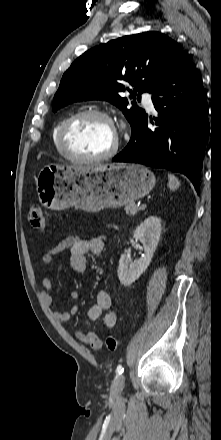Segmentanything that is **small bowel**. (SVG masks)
Returning a JSON list of instances; mask_svg holds the SVG:
<instances>
[{"mask_svg":"<svg viewBox=\"0 0 221 440\" xmlns=\"http://www.w3.org/2000/svg\"><path fill=\"white\" fill-rule=\"evenodd\" d=\"M70 248V266L77 273H83L87 268V254L89 252L94 255L101 256L105 251V239L102 237H94L91 239H85L76 235H67L55 246L54 248L46 251L42 256V264L49 266L52 264L55 255L60 252ZM53 284L48 275L42 278V290L41 294L48 306L53 305ZM71 299L77 300L79 298V293L73 291L71 293ZM111 296L109 292L105 289L99 291L96 297V302L92 305L87 313L86 319L88 321H97L101 319L102 324L107 328H113L117 322V315L111 310ZM78 311L77 306H72L68 311L55 312V318L60 322H67L70 318L75 315ZM77 339L89 345L93 349H99L102 347V341L95 330L89 332H77Z\"/></svg>","mask_w":221,"mask_h":440,"instance_id":"1","label":"small bowel"}]
</instances>
